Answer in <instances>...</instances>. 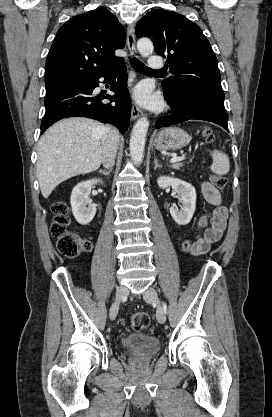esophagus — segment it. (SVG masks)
Listing matches in <instances>:
<instances>
[{
  "label": "esophagus",
  "mask_w": 272,
  "mask_h": 417,
  "mask_svg": "<svg viewBox=\"0 0 272 417\" xmlns=\"http://www.w3.org/2000/svg\"><path fill=\"white\" fill-rule=\"evenodd\" d=\"M127 47L130 51L131 55L136 57L137 51H136V39H135V33H134V26L129 25L127 28ZM142 115V110L137 106L133 105L131 109V118L133 120L137 119Z\"/></svg>",
  "instance_id": "34e87169"
}]
</instances>
